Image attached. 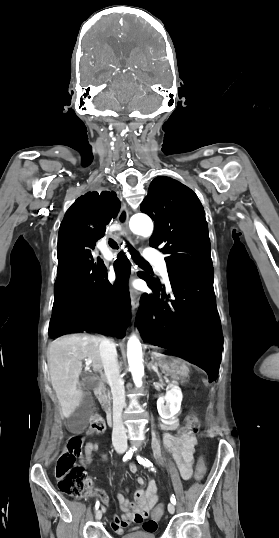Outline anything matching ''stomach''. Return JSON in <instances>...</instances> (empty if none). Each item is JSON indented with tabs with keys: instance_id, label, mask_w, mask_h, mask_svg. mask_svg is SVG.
<instances>
[{
	"instance_id": "0dacf381",
	"label": "stomach",
	"mask_w": 279,
	"mask_h": 538,
	"mask_svg": "<svg viewBox=\"0 0 279 538\" xmlns=\"http://www.w3.org/2000/svg\"><path fill=\"white\" fill-rule=\"evenodd\" d=\"M152 356L156 364L168 370L169 374H187L188 372V365L184 358H180L179 353L152 352Z\"/></svg>"
}]
</instances>
